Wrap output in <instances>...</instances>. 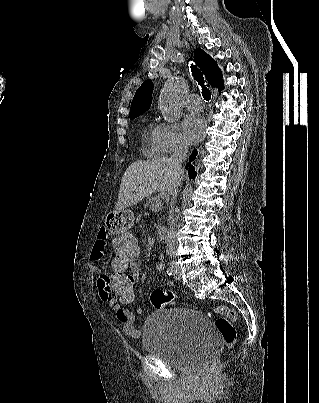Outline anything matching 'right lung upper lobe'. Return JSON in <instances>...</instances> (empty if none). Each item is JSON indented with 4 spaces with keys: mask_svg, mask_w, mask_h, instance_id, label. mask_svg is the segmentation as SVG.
<instances>
[{
    "mask_svg": "<svg viewBox=\"0 0 319 403\" xmlns=\"http://www.w3.org/2000/svg\"><path fill=\"white\" fill-rule=\"evenodd\" d=\"M194 60L204 73L206 79L212 87H217L221 92L224 88L222 72L217 63L202 49L198 48L194 52ZM153 82L146 80L138 88L131 103L130 117L139 116L149 109L152 103Z\"/></svg>",
    "mask_w": 319,
    "mask_h": 403,
    "instance_id": "right-lung-upper-lobe-1",
    "label": "right lung upper lobe"
}]
</instances>
